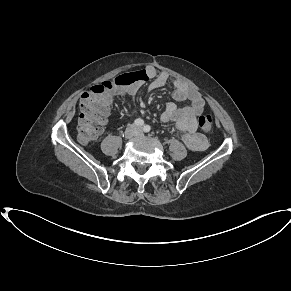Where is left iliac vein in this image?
Returning <instances> with one entry per match:
<instances>
[{
    "instance_id": "4c4485c4",
    "label": "left iliac vein",
    "mask_w": 291,
    "mask_h": 291,
    "mask_svg": "<svg viewBox=\"0 0 291 291\" xmlns=\"http://www.w3.org/2000/svg\"><path fill=\"white\" fill-rule=\"evenodd\" d=\"M140 131H141V129L140 128H137V133L138 134H140Z\"/></svg>"
}]
</instances>
